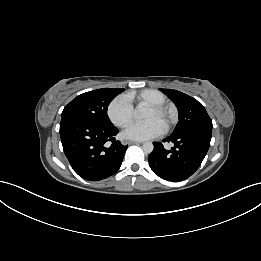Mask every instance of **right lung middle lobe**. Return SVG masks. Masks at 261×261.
I'll use <instances>...</instances> for the list:
<instances>
[{
    "mask_svg": "<svg viewBox=\"0 0 261 261\" xmlns=\"http://www.w3.org/2000/svg\"><path fill=\"white\" fill-rule=\"evenodd\" d=\"M122 88H103L83 93L74 98L62 112L63 117L78 119L101 126L112 125L107 108Z\"/></svg>",
    "mask_w": 261,
    "mask_h": 261,
    "instance_id": "dd1d6c3e",
    "label": "right lung middle lobe"
}]
</instances>
